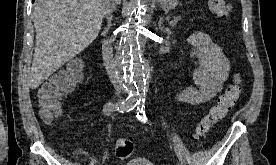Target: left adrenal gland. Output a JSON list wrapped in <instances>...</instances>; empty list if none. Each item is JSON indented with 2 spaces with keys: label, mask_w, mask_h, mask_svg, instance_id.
<instances>
[{
  "label": "left adrenal gland",
  "mask_w": 276,
  "mask_h": 165,
  "mask_svg": "<svg viewBox=\"0 0 276 165\" xmlns=\"http://www.w3.org/2000/svg\"><path fill=\"white\" fill-rule=\"evenodd\" d=\"M163 22H164V17H161L159 21V29L162 32L168 33L169 35L172 34L173 32L168 27L167 28L164 27Z\"/></svg>",
  "instance_id": "a2214340"
}]
</instances>
